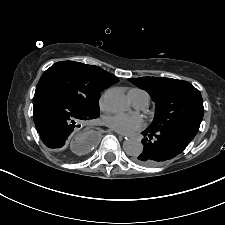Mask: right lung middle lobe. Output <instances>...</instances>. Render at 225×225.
Returning <instances> with one entry per match:
<instances>
[{"mask_svg": "<svg viewBox=\"0 0 225 225\" xmlns=\"http://www.w3.org/2000/svg\"><path fill=\"white\" fill-rule=\"evenodd\" d=\"M37 85H47L63 94L86 113L99 116L100 92L107 88L94 78L86 64L61 61L41 76Z\"/></svg>", "mask_w": 225, "mask_h": 225, "instance_id": "dd1d6c3e", "label": "right lung middle lobe"}]
</instances>
